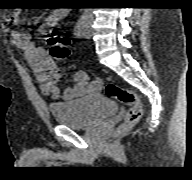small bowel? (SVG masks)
<instances>
[{"label":"small bowel","instance_id":"1","mask_svg":"<svg viewBox=\"0 0 192 180\" xmlns=\"http://www.w3.org/2000/svg\"><path fill=\"white\" fill-rule=\"evenodd\" d=\"M68 15V9H54L45 18V24L50 28L55 27L65 20ZM11 21L13 24L20 22V13L18 11L13 13ZM13 39L15 44L25 52L44 94L54 99L70 100L101 89L102 81L95 79L89 82L88 76L83 70L74 75V85L71 88L61 89L58 86L60 79L59 68L47 51L43 47L37 46L29 35L24 32H14Z\"/></svg>","mask_w":192,"mask_h":180}]
</instances>
